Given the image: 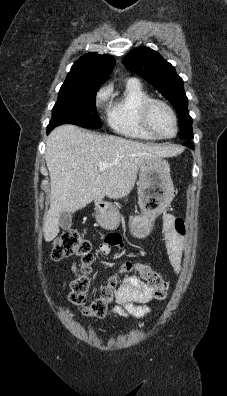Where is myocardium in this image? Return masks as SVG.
Segmentation results:
<instances>
[{
    "instance_id": "obj_1",
    "label": "myocardium",
    "mask_w": 227,
    "mask_h": 396,
    "mask_svg": "<svg viewBox=\"0 0 227 396\" xmlns=\"http://www.w3.org/2000/svg\"><path fill=\"white\" fill-rule=\"evenodd\" d=\"M155 105H161L165 107L172 115L175 124V132L172 136H163L160 133H158L156 129L153 127L151 122V111ZM141 121L145 129L159 139H172L176 137L179 131V122H178L177 114L175 110L172 108V106L163 99L150 97L147 101H145L141 107Z\"/></svg>"
}]
</instances>
